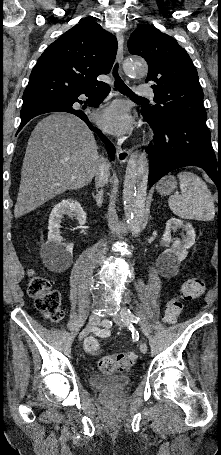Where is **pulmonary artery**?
I'll return each mask as SVG.
<instances>
[{
  "instance_id": "1",
  "label": "pulmonary artery",
  "mask_w": 221,
  "mask_h": 455,
  "mask_svg": "<svg viewBox=\"0 0 221 455\" xmlns=\"http://www.w3.org/2000/svg\"><path fill=\"white\" fill-rule=\"evenodd\" d=\"M136 95L143 96V97H152L153 90L148 85H145V84L139 85L136 88Z\"/></svg>"
}]
</instances>
